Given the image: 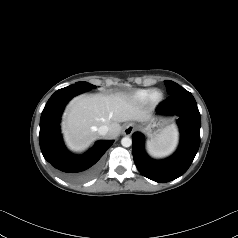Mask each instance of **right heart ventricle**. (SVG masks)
I'll return each instance as SVG.
<instances>
[{
	"instance_id": "obj_1",
	"label": "right heart ventricle",
	"mask_w": 238,
	"mask_h": 238,
	"mask_svg": "<svg viewBox=\"0 0 238 238\" xmlns=\"http://www.w3.org/2000/svg\"><path fill=\"white\" fill-rule=\"evenodd\" d=\"M151 89H141L133 94V98L138 102H145L151 93Z\"/></svg>"
}]
</instances>
